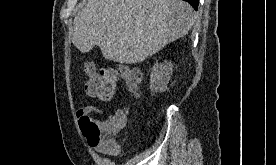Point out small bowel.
<instances>
[{
	"instance_id": "small-bowel-1",
	"label": "small bowel",
	"mask_w": 276,
	"mask_h": 165,
	"mask_svg": "<svg viewBox=\"0 0 276 165\" xmlns=\"http://www.w3.org/2000/svg\"><path fill=\"white\" fill-rule=\"evenodd\" d=\"M96 113V114H100L101 110L95 106L92 105H88V106H84L81 107L77 110V117L79 118V120L84 117V116H90L91 114ZM104 126H108V123H102ZM96 148V150L100 153H104V154H112V153H116L117 151H112L110 150L106 145H97L94 146Z\"/></svg>"
}]
</instances>
